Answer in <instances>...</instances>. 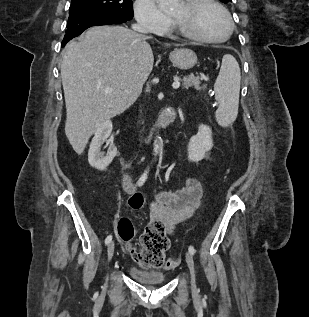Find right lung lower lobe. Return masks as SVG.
Instances as JSON below:
<instances>
[{
  "label": "right lung lower lobe",
  "instance_id": "1",
  "mask_svg": "<svg viewBox=\"0 0 309 317\" xmlns=\"http://www.w3.org/2000/svg\"><path fill=\"white\" fill-rule=\"evenodd\" d=\"M126 22L125 19L117 16L100 14V13H80L69 16L67 23V31L62 41L61 47L72 38L80 35L84 30L91 26L106 25V24H121Z\"/></svg>",
  "mask_w": 309,
  "mask_h": 317
}]
</instances>
